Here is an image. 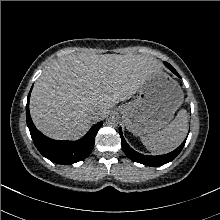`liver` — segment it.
Instances as JSON below:
<instances>
[{
	"instance_id": "1",
	"label": "liver",
	"mask_w": 220,
	"mask_h": 220,
	"mask_svg": "<svg viewBox=\"0 0 220 220\" xmlns=\"http://www.w3.org/2000/svg\"><path fill=\"white\" fill-rule=\"evenodd\" d=\"M161 64L141 54H85L47 66L33 88L30 114L36 127L57 140H75L131 98ZM92 110L97 112L92 115Z\"/></svg>"
}]
</instances>
